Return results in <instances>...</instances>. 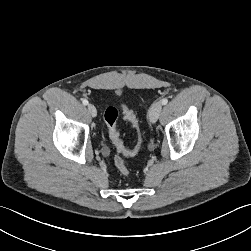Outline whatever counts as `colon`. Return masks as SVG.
Returning a JSON list of instances; mask_svg holds the SVG:
<instances>
[{"label": "colon", "mask_w": 251, "mask_h": 251, "mask_svg": "<svg viewBox=\"0 0 251 251\" xmlns=\"http://www.w3.org/2000/svg\"><path fill=\"white\" fill-rule=\"evenodd\" d=\"M122 110L125 120L137 132L138 135L137 144L133 148H127L119 136V133L116 129L118 110L115 107L110 106L105 110L104 119L108 127L110 139L113 142L116 149L126 156H134L139 152L142 144V137L138 120L133 111L130 110L127 106L123 105ZM114 164L119 173L122 174L123 176H128L130 174L129 168L127 167L124 159L121 156L116 155L114 157Z\"/></svg>", "instance_id": "colon-1"}]
</instances>
